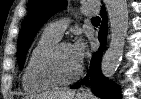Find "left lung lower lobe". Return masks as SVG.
I'll use <instances>...</instances> for the list:
<instances>
[{
    "mask_svg": "<svg viewBox=\"0 0 141 99\" xmlns=\"http://www.w3.org/2000/svg\"><path fill=\"white\" fill-rule=\"evenodd\" d=\"M102 26L99 32L98 39L101 43L99 51H97L91 59V68L87 76L78 84L72 86L71 88L77 89L81 84H87L88 79H90L91 89L94 95L102 99H120L118 88L105 78L101 73L100 62L101 56L106 44L107 35V18L105 13V8H102Z\"/></svg>",
    "mask_w": 141,
    "mask_h": 99,
    "instance_id": "0a47b994",
    "label": "left lung lower lobe"
}]
</instances>
